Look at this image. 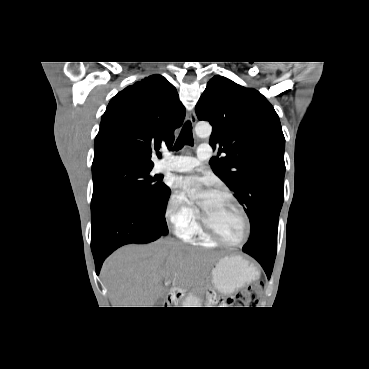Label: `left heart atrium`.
I'll return each mask as SVG.
<instances>
[{
  "label": "left heart atrium",
  "instance_id": "39dd6f15",
  "mask_svg": "<svg viewBox=\"0 0 369 369\" xmlns=\"http://www.w3.org/2000/svg\"><path fill=\"white\" fill-rule=\"evenodd\" d=\"M198 186H205L207 188L204 196H210L214 194V191L210 188L209 181L206 179L197 176H187L176 180V187L184 193H189Z\"/></svg>",
  "mask_w": 369,
  "mask_h": 369
}]
</instances>
